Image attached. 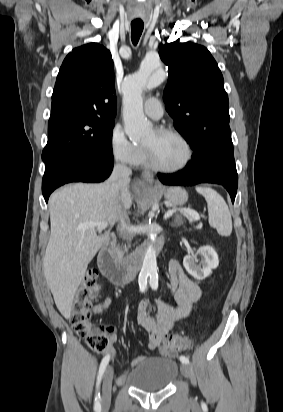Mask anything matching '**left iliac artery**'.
I'll use <instances>...</instances> for the list:
<instances>
[{
  "instance_id": "obj_1",
  "label": "left iliac artery",
  "mask_w": 283,
  "mask_h": 412,
  "mask_svg": "<svg viewBox=\"0 0 283 412\" xmlns=\"http://www.w3.org/2000/svg\"><path fill=\"white\" fill-rule=\"evenodd\" d=\"M150 286L152 289L158 288V275L150 274ZM180 361L185 364H189V359L186 356H180Z\"/></svg>"
}]
</instances>
